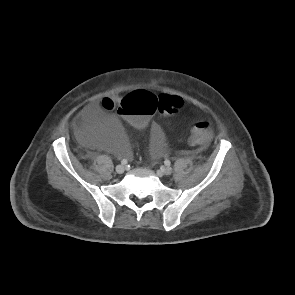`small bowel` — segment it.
<instances>
[{"instance_id": "c3829d8e", "label": "small bowel", "mask_w": 295, "mask_h": 295, "mask_svg": "<svg viewBox=\"0 0 295 295\" xmlns=\"http://www.w3.org/2000/svg\"><path fill=\"white\" fill-rule=\"evenodd\" d=\"M78 123L81 128L89 133V136L92 139H95L99 135V130L103 126L112 125L115 121L113 119H108L99 106H89L80 113ZM149 126L151 128L152 155L157 157L162 151L161 129L156 123L151 122ZM99 141L103 142L102 139H99ZM115 150L128 158L131 157V150L125 143L118 145Z\"/></svg>"}]
</instances>
